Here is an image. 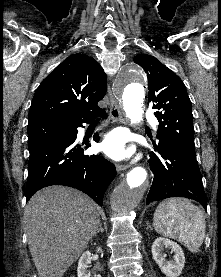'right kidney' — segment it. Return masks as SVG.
<instances>
[{
	"mask_svg": "<svg viewBox=\"0 0 221 277\" xmlns=\"http://www.w3.org/2000/svg\"><path fill=\"white\" fill-rule=\"evenodd\" d=\"M97 252H102V249L97 248ZM90 263H91V253L89 251H86L82 254L78 262V268H77L78 277H90L87 274V267H88V264ZM95 277H101V276L97 275Z\"/></svg>",
	"mask_w": 221,
	"mask_h": 277,
	"instance_id": "right-kidney-1",
	"label": "right kidney"
}]
</instances>
